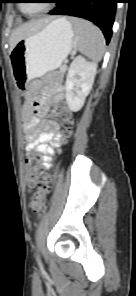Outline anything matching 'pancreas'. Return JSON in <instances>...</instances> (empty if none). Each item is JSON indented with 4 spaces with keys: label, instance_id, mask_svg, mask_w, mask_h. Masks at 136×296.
Segmentation results:
<instances>
[{
    "label": "pancreas",
    "instance_id": "pancreas-1",
    "mask_svg": "<svg viewBox=\"0 0 136 296\" xmlns=\"http://www.w3.org/2000/svg\"><path fill=\"white\" fill-rule=\"evenodd\" d=\"M65 70H66V69L61 70V73H60V77H61V78L63 77V74H64Z\"/></svg>",
    "mask_w": 136,
    "mask_h": 296
}]
</instances>
